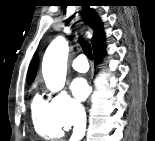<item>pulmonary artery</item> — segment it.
Segmentation results:
<instances>
[{"label": "pulmonary artery", "instance_id": "1", "mask_svg": "<svg viewBox=\"0 0 155 141\" xmlns=\"http://www.w3.org/2000/svg\"><path fill=\"white\" fill-rule=\"evenodd\" d=\"M72 67L78 72H86L89 68L86 57L84 55L77 56L72 62Z\"/></svg>", "mask_w": 155, "mask_h": 141}]
</instances>
